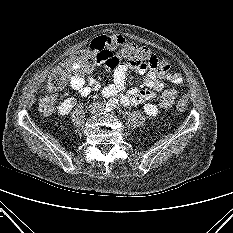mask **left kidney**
Masks as SVG:
<instances>
[{"mask_svg":"<svg viewBox=\"0 0 233 233\" xmlns=\"http://www.w3.org/2000/svg\"><path fill=\"white\" fill-rule=\"evenodd\" d=\"M144 112L150 117H154L159 113L158 108L155 105L149 103L144 105Z\"/></svg>","mask_w":233,"mask_h":233,"instance_id":"1","label":"left kidney"}]
</instances>
